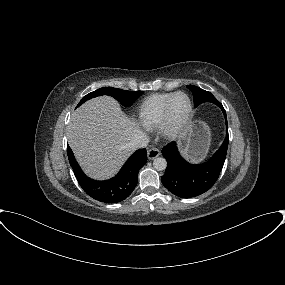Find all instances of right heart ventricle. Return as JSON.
Returning <instances> with one entry per match:
<instances>
[{
    "label": "right heart ventricle",
    "mask_w": 285,
    "mask_h": 285,
    "mask_svg": "<svg viewBox=\"0 0 285 285\" xmlns=\"http://www.w3.org/2000/svg\"><path fill=\"white\" fill-rule=\"evenodd\" d=\"M174 93L154 94L145 98L138 107L140 123L147 128L160 126L165 106Z\"/></svg>",
    "instance_id": "right-heart-ventricle-1"
}]
</instances>
